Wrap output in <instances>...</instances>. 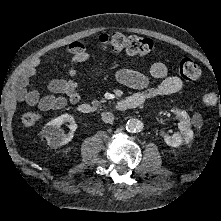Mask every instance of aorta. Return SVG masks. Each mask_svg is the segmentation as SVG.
I'll use <instances>...</instances> for the list:
<instances>
[{"instance_id": "aorta-1", "label": "aorta", "mask_w": 221, "mask_h": 221, "mask_svg": "<svg viewBox=\"0 0 221 221\" xmlns=\"http://www.w3.org/2000/svg\"><path fill=\"white\" fill-rule=\"evenodd\" d=\"M143 127H144L143 122L136 118H130L126 123V129L128 132L131 133L141 132Z\"/></svg>"}]
</instances>
